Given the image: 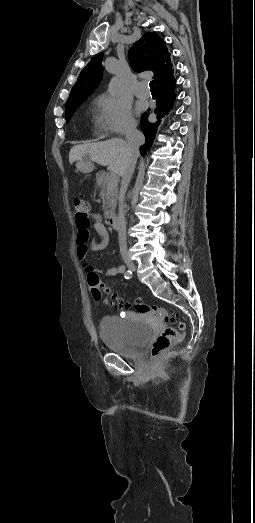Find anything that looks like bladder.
<instances>
[{
    "instance_id": "bladder-1",
    "label": "bladder",
    "mask_w": 255,
    "mask_h": 523,
    "mask_svg": "<svg viewBox=\"0 0 255 523\" xmlns=\"http://www.w3.org/2000/svg\"><path fill=\"white\" fill-rule=\"evenodd\" d=\"M131 319L134 323L128 328L112 318H102L99 327L105 345L126 356L138 354L152 333L150 325L142 320Z\"/></svg>"
}]
</instances>
